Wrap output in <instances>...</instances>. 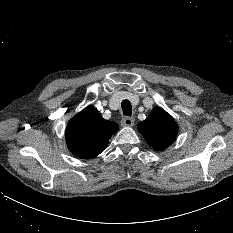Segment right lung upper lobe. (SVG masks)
Returning a JSON list of instances; mask_svg holds the SVG:
<instances>
[{
	"label": "right lung upper lobe",
	"instance_id": "1",
	"mask_svg": "<svg viewBox=\"0 0 233 233\" xmlns=\"http://www.w3.org/2000/svg\"><path fill=\"white\" fill-rule=\"evenodd\" d=\"M118 124L105 120L92 106H88L68 123L65 136L69 150L81 158H93L105 150Z\"/></svg>",
	"mask_w": 233,
	"mask_h": 233
}]
</instances>
